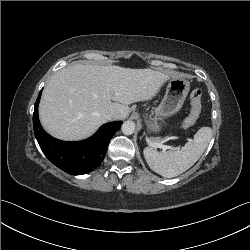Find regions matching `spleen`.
I'll return each mask as SVG.
<instances>
[{
    "label": "spleen",
    "mask_w": 250,
    "mask_h": 250,
    "mask_svg": "<svg viewBox=\"0 0 250 250\" xmlns=\"http://www.w3.org/2000/svg\"><path fill=\"white\" fill-rule=\"evenodd\" d=\"M212 137L210 127H201L192 141L187 142L178 150L158 152L146 147L143 151L149 167L165 178L176 177L192 167L207 148Z\"/></svg>",
    "instance_id": "1"
}]
</instances>
